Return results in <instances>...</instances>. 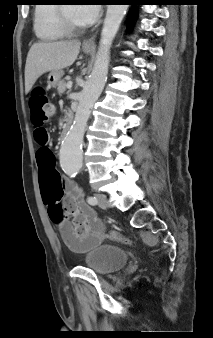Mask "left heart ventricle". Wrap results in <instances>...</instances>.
I'll return each instance as SVG.
<instances>
[{"label": "left heart ventricle", "mask_w": 213, "mask_h": 338, "mask_svg": "<svg viewBox=\"0 0 213 338\" xmlns=\"http://www.w3.org/2000/svg\"><path fill=\"white\" fill-rule=\"evenodd\" d=\"M66 12L68 16L73 20L77 25H84L78 18H77V8L75 5H66Z\"/></svg>", "instance_id": "left-heart-ventricle-1"}]
</instances>
